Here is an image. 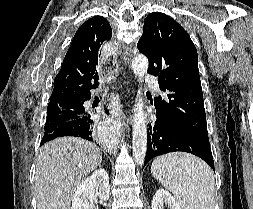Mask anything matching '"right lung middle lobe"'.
<instances>
[{
  "mask_svg": "<svg viewBox=\"0 0 253 209\" xmlns=\"http://www.w3.org/2000/svg\"><path fill=\"white\" fill-rule=\"evenodd\" d=\"M83 110H75L72 107L62 106L59 109H47L45 130L55 128L67 121L80 118Z\"/></svg>",
  "mask_w": 253,
  "mask_h": 209,
  "instance_id": "right-lung-middle-lobe-1",
  "label": "right lung middle lobe"
}]
</instances>
